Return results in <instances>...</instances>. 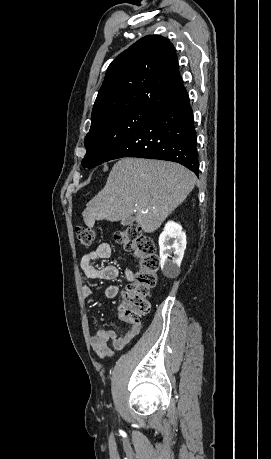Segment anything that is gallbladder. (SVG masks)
<instances>
[{
	"label": "gallbladder",
	"instance_id": "bac80fb5",
	"mask_svg": "<svg viewBox=\"0 0 271 459\" xmlns=\"http://www.w3.org/2000/svg\"><path fill=\"white\" fill-rule=\"evenodd\" d=\"M133 220H129V218H126V220H121L122 226H129V224H132Z\"/></svg>",
	"mask_w": 271,
	"mask_h": 459
}]
</instances>
